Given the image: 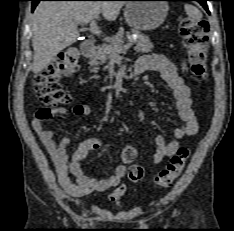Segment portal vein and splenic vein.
I'll return each mask as SVG.
<instances>
[{
    "label": "portal vein and splenic vein",
    "mask_w": 234,
    "mask_h": 231,
    "mask_svg": "<svg viewBox=\"0 0 234 231\" xmlns=\"http://www.w3.org/2000/svg\"><path fill=\"white\" fill-rule=\"evenodd\" d=\"M89 30H90V32L92 34L100 35V31H99V29L97 27V24H96L95 20L90 21ZM131 46H132V43L128 42L125 45H123L121 48H119L117 51H118V53L119 52H124V51L128 50ZM114 56H117V54H115Z\"/></svg>",
    "instance_id": "18ae733b"
}]
</instances>
